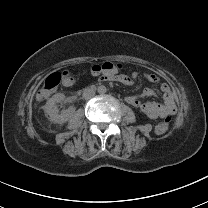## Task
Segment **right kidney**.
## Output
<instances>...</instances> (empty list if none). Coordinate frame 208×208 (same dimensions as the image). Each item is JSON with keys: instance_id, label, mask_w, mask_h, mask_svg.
Returning <instances> with one entry per match:
<instances>
[{"instance_id": "ca27d5eb", "label": "right kidney", "mask_w": 208, "mask_h": 208, "mask_svg": "<svg viewBox=\"0 0 208 208\" xmlns=\"http://www.w3.org/2000/svg\"><path fill=\"white\" fill-rule=\"evenodd\" d=\"M65 99V95L62 93H57L53 95L44 106L45 112L49 115L50 120L53 123H64L66 122L70 115L67 110L62 111L61 114H59V110L56 107V103L61 102Z\"/></svg>"}]
</instances>
